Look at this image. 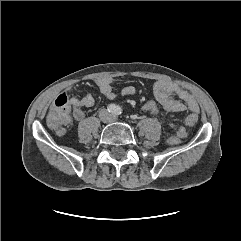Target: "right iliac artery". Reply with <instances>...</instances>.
Segmentation results:
<instances>
[{
	"instance_id": "82829eb1",
	"label": "right iliac artery",
	"mask_w": 241,
	"mask_h": 241,
	"mask_svg": "<svg viewBox=\"0 0 241 241\" xmlns=\"http://www.w3.org/2000/svg\"><path fill=\"white\" fill-rule=\"evenodd\" d=\"M115 108L116 106L114 104H110L108 107H107V110L111 113L115 112Z\"/></svg>"
}]
</instances>
